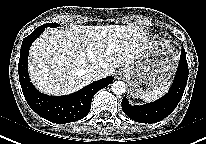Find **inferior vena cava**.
Wrapping results in <instances>:
<instances>
[{
  "instance_id": "602c4592",
  "label": "inferior vena cava",
  "mask_w": 206,
  "mask_h": 144,
  "mask_svg": "<svg viewBox=\"0 0 206 144\" xmlns=\"http://www.w3.org/2000/svg\"><path fill=\"white\" fill-rule=\"evenodd\" d=\"M86 73L88 75V78L92 81L98 80L103 76L102 69L97 66H91L86 70Z\"/></svg>"
}]
</instances>
